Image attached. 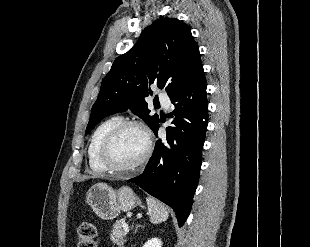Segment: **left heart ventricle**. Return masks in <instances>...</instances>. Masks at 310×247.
Listing matches in <instances>:
<instances>
[{"mask_svg":"<svg viewBox=\"0 0 310 247\" xmlns=\"http://www.w3.org/2000/svg\"><path fill=\"white\" fill-rule=\"evenodd\" d=\"M146 140L143 132L134 127L124 129L114 140L109 158L113 165L125 167L135 163L143 154Z\"/></svg>","mask_w":310,"mask_h":247,"instance_id":"b2bd125f","label":"left heart ventricle"}]
</instances>
